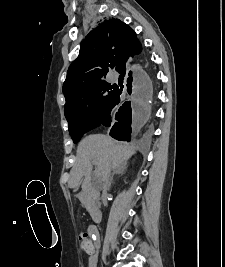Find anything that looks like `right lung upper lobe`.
<instances>
[{
	"instance_id": "right-lung-upper-lobe-1",
	"label": "right lung upper lobe",
	"mask_w": 225,
	"mask_h": 267,
	"mask_svg": "<svg viewBox=\"0 0 225 267\" xmlns=\"http://www.w3.org/2000/svg\"><path fill=\"white\" fill-rule=\"evenodd\" d=\"M139 43L136 33L119 19H106L88 34L63 84L65 99L82 88L104 81L109 69L119 72Z\"/></svg>"
}]
</instances>
